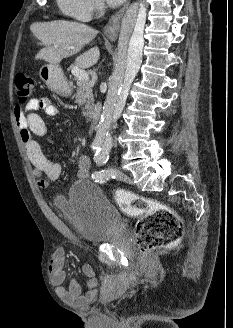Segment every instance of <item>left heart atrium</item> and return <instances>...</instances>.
<instances>
[{
	"mask_svg": "<svg viewBox=\"0 0 233 328\" xmlns=\"http://www.w3.org/2000/svg\"><path fill=\"white\" fill-rule=\"evenodd\" d=\"M105 1L111 7L118 6L119 4H121L123 2V0H105Z\"/></svg>",
	"mask_w": 233,
	"mask_h": 328,
	"instance_id": "1",
	"label": "left heart atrium"
}]
</instances>
